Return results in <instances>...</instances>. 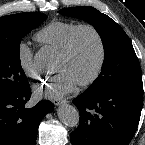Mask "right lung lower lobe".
Instances as JSON below:
<instances>
[{
    "label": "right lung lower lobe",
    "mask_w": 145,
    "mask_h": 145,
    "mask_svg": "<svg viewBox=\"0 0 145 145\" xmlns=\"http://www.w3.org/2000/svg\"><path fill=\"white\" fill-rule=\"evenodd\" d=\"M30 96L29 85L18 93L0 94V145L36 144L39 123L53 111V105L42 100L26 108Z\"/></svg>",
    "instance_id": "1"
}]
</instances>
